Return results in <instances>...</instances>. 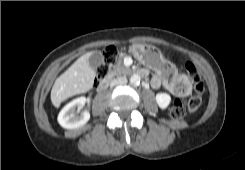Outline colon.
<instances>
[{"label": "colon", "instance_id": "1", "mask_svg": "<svg viewBox=\"0 0 245 170\" xmlns=\"http://www.w3.org/2000/svg\"><path fill=\"white\" fill-rule=\"evenodd\" d=\"M117 57V50L114 47H107L104 51L103 62L97 69V80L103 79L109 72L111 66L114 64ZM187 73L189 74L193 84L194 92L190 97L187 105L189 112H195L201 105L202 96L205 91V86L200 74L196 71V68L192 63H186L185 65ZM175 89V84L173 85ZM186 114V108L181 101H176L171 109V116L176 119H182Z\"/></svg>", "mask_w": 245, "mask_h": 170}]
</instances>
